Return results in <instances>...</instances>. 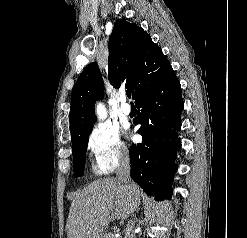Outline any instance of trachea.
<instances>
[{"label":"trachea","mask_w":247,"mask_h":238,"mask_svg":"<svg viewBox=\"0 0 247 238\" xmlns=\"http://www.w3.org/2000/svg\"><path fill=\"white\" fill-rule=\"evenodd\" d=\"M126 95L129 99L131 98V92L129 90L126 91Z\"/></svg>","instance_id":"1"}]
</instances>
